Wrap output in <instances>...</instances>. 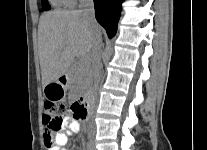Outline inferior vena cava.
Segmentation results:
<instances>
[{"label": "inferior vena cava", "instance_id": "inferior-vena-cava-1", "mask_svg": "<svg viewBox=\"0 0 207 150\" xmlns=\"http://www.w3.org/2000/svg\"><path fill=\"white\" fill-rule=\"evenodd\" d=\"M79 11L83 13L86 18L92 22L95 21L94 15V2L93 0H79ZM101 37L97 38L92 46L90 53V60L92 63V70L94 76V89L97 90L101 75H100V67H101Z\"/></svg>", "mask_w": 207, "mask_h": 150}]
</instances>
